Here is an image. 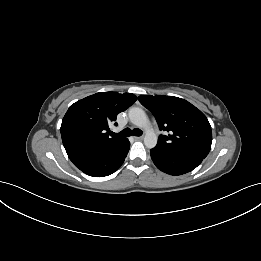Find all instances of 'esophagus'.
Here are the masks:
<instances>
[{
  "label": "esophagus",
  "instance_id": "obj_1",
  "mask_svg": "<svg viewBox=\"0 0 261 261\" xmlns=\"http://www.w3.org/2000/svg\"><path fill=\"white\" fill-rule=\"evenodd\" d=\"M134 139H135V140H142V139H143V136H135Z\"/></svg>",
  "mask_w": 261,
  "mask_h": 261
}]
</instances>
